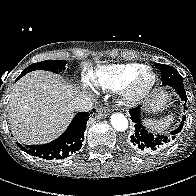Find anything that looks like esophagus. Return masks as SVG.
Segmentation results:
<instances>
[{
	"mask_svg": "<svg viewBox=\"0 0 196 196\" xmlns=\"http://www.w3.org/2000/svg\"><path fill=\"white\" fill-rule=\"evenodd\" d=\"M97 112H98V117L103 118V117L109 115L111 110L108 107L100 106L97 109Z\"/></svg>",
	"mask_w": 196,
	"mask_h": 196,
	"instance_id": "1",
	"label": "esophagus"
}]
</instances>
